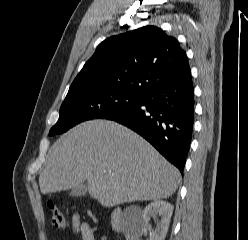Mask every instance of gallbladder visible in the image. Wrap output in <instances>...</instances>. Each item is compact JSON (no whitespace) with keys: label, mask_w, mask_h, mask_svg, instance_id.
<instances>
[{"label":"gallbladder","mask_w":248,"mask_h":240,"mask_svg":"<svg viewBox=\"0 0 248 240\" xmlns=\"http://www.w3.org/2000/svg\"><path fill=\"white\" fill-rule=\"evenodd\" d=\"M86 193H87V187L84 184L76 186L72 188L70 191V195L75 197L83 196Z\"/></svg>","instance_id":"gallbladder-1"}]
</instances>
